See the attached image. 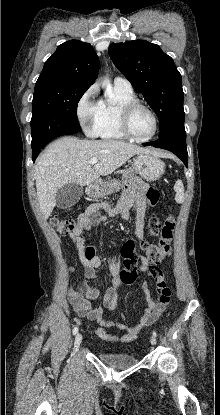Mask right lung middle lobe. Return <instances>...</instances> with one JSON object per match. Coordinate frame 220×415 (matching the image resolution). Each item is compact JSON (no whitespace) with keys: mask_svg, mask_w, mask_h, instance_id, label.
<instances>
[{"mask_svg":"<svg viewBox=\"0 0 220 415\" xmlns=\"http://www.w3.org/2000/svg\"><path fill=\"white\" fill-rule=\"evenodd\" d=\"M89 87L64 83L36 84L32 101V150L52 139L78 132L77 105Z\"/></svg>","mask_w":220,"mask_h":415,"instance_id":"obj_1","label":"right lung middle lobe"}]
</instances>
